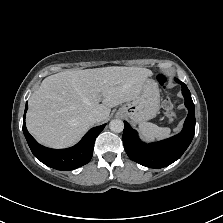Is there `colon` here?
<instances>
[{"instance_id":"5ec220e1","label":"colon","mask_w":223,"mask_h":223,"mask_svg":"<svg viewBox=\"0 0 223 223\" xmlns=\"http://www.w3.org/2000/svg\"><path fill=\"white\" fill-rule=\"evenodd\" d=\"M157 80L161 85L166 83V77L162 74L158 75ZM163 106L166 110L168 120L172 121L175 118L174 105L172 100L170 98H166L163 102Z\"/></svg>"}]
</instances>
